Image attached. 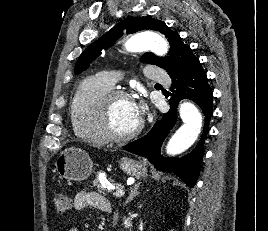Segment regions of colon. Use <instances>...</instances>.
<instances>
[{
	"instance_id": "obj_1",
	"label": "colon",
	"mask_w": 268,
	"mask_h": 231,
	"mask_svg": "<svg viewBox=\"0 0 268 231\" xmlns=\"http://www.w3.org/2000/svg\"><path fill=\"white\" fill-rule=\"evenodd\" d=\"M53 205L57 213L63 214L70 209V199L62 192H57L53 196Z\"/></svg>"
}]
</instances>
